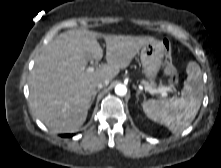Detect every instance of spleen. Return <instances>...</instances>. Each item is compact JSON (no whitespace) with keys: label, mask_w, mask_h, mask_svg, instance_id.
Returning <instances> with one entry per match:
<instances>
[{"label":"spleen","mask_w":221,"mask_h":168,"mask_svg":"<svg viewBox=\"0 0 221 168\" xmlns=\"http://www.w3.org/2000/svg\"><path fill=\"white\" fill-rule=\"evenodd\" d=\"M186 72L188 77L181 97L167 100L149 99L142 103L146 116L166 126L172 133H180L191 124L203 97L202 73L199 65L190 62Z\"/></svg>","instance_id":"obj_1"}]
</instances>
